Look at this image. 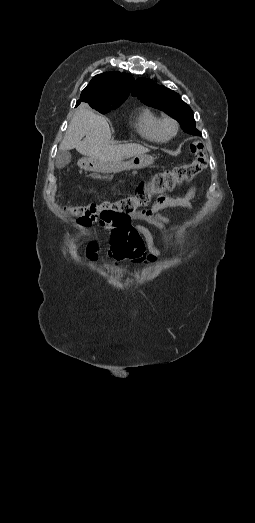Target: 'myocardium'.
I'll use <instances>...</instances> for the list:
<instances>
[{"mask_svg":"<svg viewBox=\"0 0 255 523\" xmlns=\"http://www.w3.org/2000/svg\"><path fill=\"white\" fill-rule=\"evenodd\" d=\"M161 131L166 138H172L174 137L178 130H179V124L177 120L172 116H165L161 119Z\"/></svg>","mask_w":255,"mask_h":523,"instance_id":"1","label":"myocardium"}]
</instances>
